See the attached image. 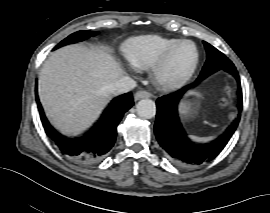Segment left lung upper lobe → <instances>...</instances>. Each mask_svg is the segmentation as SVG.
Instances as JSON below:
<instances>
[{
  "label": "left lung upper lobe",
  "mask_w": 270,
  "mask_h": 213,
  "mask_svg": "<svg viewBox=\"0 0 270 213\" xmlns=\"http://www.w3.org/2000/svg\"><path fill=\"white\" fill-rule=\"evenodd\" d=\"M204 46L207 52V60L202 68V71L197 78V81H201L213 74L214 72L220 69H227L228 67H232L233 63L219 50L210 45L207 42H204Z\"/></svg>",
  "instance_id": "1"
}]
</instances>
